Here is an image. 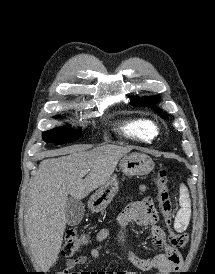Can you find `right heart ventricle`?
I'll list each match as a JSON object with an SVG mask.
<instances>
[{"instance_id":"e07e8e85","label":"right heart ventricle","mask_w":215,"mask_h":274,"mask_svg":"<svg viewBox=\"0 0 215 274\" xmlns=\"http://www.w3.org/2000/svg\"><path fill=\"white\" fill-rule=\"evenodd\" d=\"M114 130L129 140L144 143H150L155 136L152 121L142 117L124 118L116 123Z\"/></svg>"}]
</instances>
